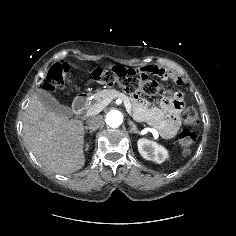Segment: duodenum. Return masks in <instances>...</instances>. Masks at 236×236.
<instances>
[{
  "label": "duodenum",
  "instance_id": "1",
  "mask_svg": "<svg viewBox=\"0 0 236 236\" xmlns=\"http://www.w3.org/2000/svg\"><path fill=\"white\" fill-rule=\"evenodd\" d=\"M88 105V96L87 95H81L77 97L73 102V110L77 114H82L86 110Z\"/></svg>",
  "mask_w": 236,
  "mask_h": 236
}]
</instances>
